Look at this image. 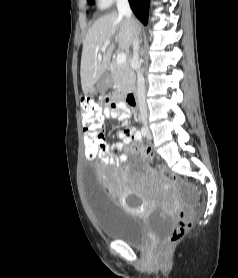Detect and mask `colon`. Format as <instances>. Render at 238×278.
<instances>
[{
    "label": "colon",
    "instance_id": "1",
    "mask_svg": "<svg viewBox=\"0 0 238 278\" xmlns=\"http://www.w3.org/2000/svg\"><path fill=\"white\" fill-rule=\"evenodd\" d=\"M80 106V127L85 128L82 141V146H85L83 148V156L85 159H97L105 145L101 102L92 95H85L81 98ZM136 150V147H132V151ZM117 151L114 149L112 152L116 153ZM139 151L145 158L152 157V152L149 149L141 148ZM160 173L162 179L168 182L169 185H174L180 191L184 190V187L181 186L182 178L178 177V174H173L166 167H161ZM176 216V224L167 234L165 244L178 242L192 226V213L187 207L180 206L177 209Z\"/></svg>",
    "mask_w": 238,
    "mask_h": 278
}]
</instances>
